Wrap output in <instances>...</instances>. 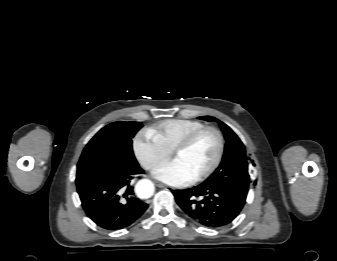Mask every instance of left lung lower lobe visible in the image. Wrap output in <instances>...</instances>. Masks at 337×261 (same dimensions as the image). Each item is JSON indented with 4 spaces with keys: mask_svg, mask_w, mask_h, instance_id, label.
Instances as JSON below:
<instances>
[{
    "mask_svg": "<svg viewBox=\"0 0 337 261\" xmlns=\"http://www.w3.org/2000/svg\"><path fill=\"white\" fill-rule=\"evenodd\" d=\"M177 204L195 222L209 228L230 224L245 202L232 192L216 186L198 185L185 190H172Z\"/></svg>",
    "mask_w": 337,
    "mask_h": 261,
    "instance_id": "1",
    "label": "left lung lower lobe"
}]
</instances>
